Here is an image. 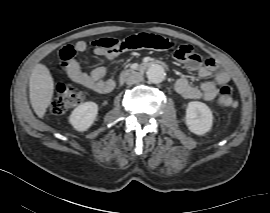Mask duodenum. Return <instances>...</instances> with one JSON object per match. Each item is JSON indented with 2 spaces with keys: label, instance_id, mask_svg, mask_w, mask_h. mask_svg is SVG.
<instances>
[{
  "label": "duodenum",
  "instance_id": "obj_1",
  "mask_svg": "<svg viewBox=\"0 0 270 213\" xmlns=\"http://www.w3.org/2000/svg\"><path fill=\"white\" fill-rule=\"evenodd\" d=\"M149 64L148 63H144V64H141L140 66H138L136 69H135V73L136 74H142L143 72H145L148 68ZM125 76V75H124Z\"/></svg>",
  "mask_w": 270,
  "mask_h": 213
}]
</instances>
